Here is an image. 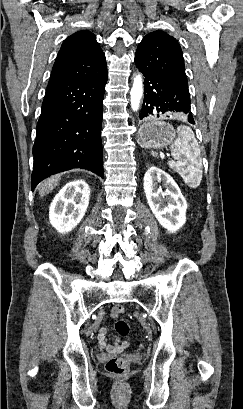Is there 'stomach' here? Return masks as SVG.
<instances>
[{
  "label": "stomach",
  "instance_id": "stomach-1",
  "mask_svg": "<svg viewBox=\"0 0 243 409\" xmlns=\"http://www.w3.org/2000/svg\"><path fill=\"white\" fill-rule=\"evenodd\" d=\"M175 131L169 123L152 119L143 123L138 131V142L143 148L162 149L173 143Z\"/></svg>",
  "mask_w": 243,
  "mask_h": 409
}]
</instances>
